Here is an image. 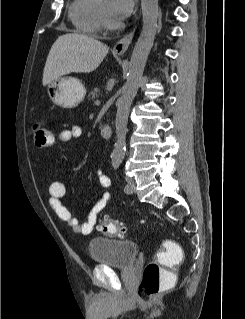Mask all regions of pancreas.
<instances>
[{
	"label": "pancreas",
	"mask_w": 245,
	"mask_h": 319,
	"mask_svg": "<svg viewBox=\"0 0 245 319\" xmlns=\"http://www.w3.org/2000/svg\"><path fill=\"white\" fill-rule=\"evenodd\" d=\"M100 94V89L95 87L92 91L89 92L87 98L88 100H93L95 98H97Z\"/></svg>",
	"instance_id": "obj_1"
}]
</instances>
